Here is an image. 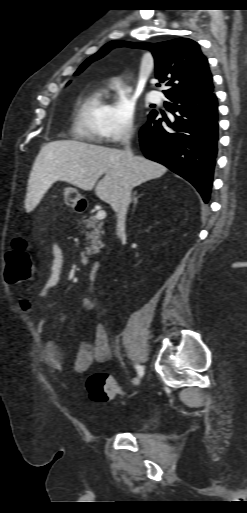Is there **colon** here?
Masks as SVG:
<instances>
[{
	"label": "colon",
	"instance_id": "obj_1",
	"mask_svg": "<svg viewBox=\"0 0 247 513\" xmlns=\"http://www.w3.org/2000/svg\"><path fill=\"white\" fill-rule=\"evenodd\" d=\"M37 271L27 249L24 239H16L7 254L5 278L10 284L33 280ZM89 397L94 402L105 403L114 399L123 391L111 375L97 372L90 375L86 382Z\"/></svg>",
	"mask_w": 247,
	"mask_h": 513
}]
</instances>
